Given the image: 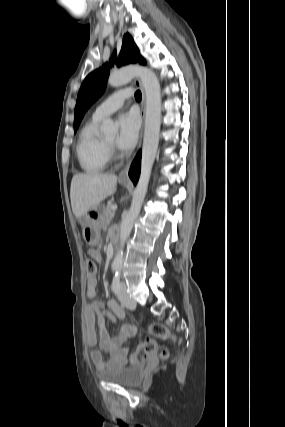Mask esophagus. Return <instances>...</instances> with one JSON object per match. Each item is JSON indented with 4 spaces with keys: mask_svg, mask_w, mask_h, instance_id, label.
Segmentation results:
<instances>
[{
    "mask_svg": "<svg viewBox=\"0 0 285 427\" xmlns=\"http://www.w3.org/2000/svg\"><path fill=\"white\" fill-rule=\"evenodd\" d=\"M134 83H135L136 87H138L140 89V91L142 93L141 112H140V114H141L142 120L144 121V119H145V112H146V94H145V90H144V87H143V85H142V83H141V81H140L139 78H136L135 81H134ZM142 133H143V128H141V131H140V139H139L138 149L141 146ZM132 161H133V158L130 159L125 164V166L122 168V170H121V172L119 174V179L120 180H123V181H128L129 180L128 173H129V169H130Z\"/></svg>",
    "mask_w": 285,
    "mask_h": 427,
    "instance_id": "34e87169",
    "label": "esophagus"
}]
</instances>
